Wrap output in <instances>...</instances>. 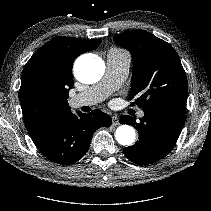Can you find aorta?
<instances>
[{
	"mask_svg": "<svg viewBox=\"0 0 211 211\" xmlns=\"http://www.w3.org/2000/svg\"><path fill=\"white\" fill-rule=\"evenodd\" d=\"M104 71V62L94 54L82 55L74 64L75 77L85 84H92L100 80ZM135 136V130L130 125H121L115 132L117 142L123 146L132 145L135 141Z\"/></svg>",
	"mask_w": 211,
	"mask_h": 211,
	"instance_id": "obj_1",
	"label": "aorta"
}]
</instances>
